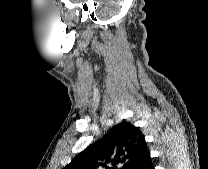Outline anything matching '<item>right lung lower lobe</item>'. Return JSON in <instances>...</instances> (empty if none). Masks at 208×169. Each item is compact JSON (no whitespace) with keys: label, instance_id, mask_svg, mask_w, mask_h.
Masks as SVG:
<instances>
[{"label":"right lung lower lobe","instance_id":"1","mask_svg":"<svg viewBox=\"0 0 208 169\" xmlns=\"http://www.w3.org/2000/svg\"><path fill=\"white\" fill-rule=\"evenodd\" d=\"M141 169H154L151 158L141 167Z\"/></svg>","mask_w":208,"mask_h":169}]
</instances>
